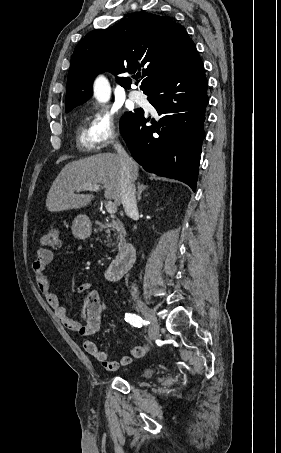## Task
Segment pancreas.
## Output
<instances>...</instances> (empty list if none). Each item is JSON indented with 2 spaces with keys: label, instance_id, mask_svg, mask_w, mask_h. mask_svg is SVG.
<instances>
[{
  "label": "pancreas",
  "instance_id": "pancreas-1",
  "mask_svg": "<svg viewBox=\"0 0 281 453\" xmlns=\"http://www.w3.org/2000/svg\"><path fill=\"white\" fill-rule=\"evenodd\" d=\"M98 229L99 231H102V229H107L106 233H108V237H110V231H114V229H117L120 239H124L126 235L123 224H121L120 220H115V218H112L111 222H104V224H100V227H98Z\"/></svg>",
  "mask_w": 281,
  "mask_h": 453
}]
</instances>
